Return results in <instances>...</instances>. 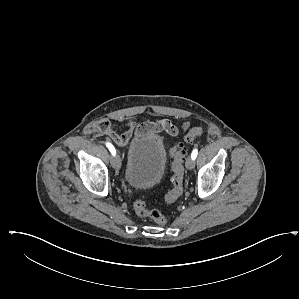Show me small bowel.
<instances>
[{
	"instance_id": "1",
	"label": "small bowel",
	"mask_w": 299,
	"mask_h": 299,
	"mask_svg": "<svg viewBox=\"0 0 299 299\" xmlns=\"http://www.w3.org/2000/svg\"><path fill=\"white\" fill-rule=\"evenodd\" d=\"M115 120L124 124V131L120 133L116 128L109 124V129L105 131V133L120 147H125L133 135H143L150 131L163 130L171 136H177L181 130L185 131L190 126V122L188 120L182 122L180 126H176L167 120L158 123L146 124H138L134 117L118 116L115 118Z\"/></svg>"
}]
</instances>
